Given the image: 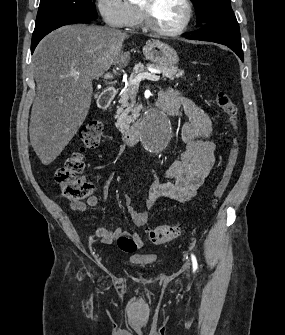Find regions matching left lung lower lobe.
Segmentation results:
<instances>
[{
  "mask_svg": "<svg viewBox=\"0 0 285 335\" xmlns=\"http://www.w3.org/2000/svg\"><path fill=\"white\" fill-rule=\"evenodd\" d=\"M187 38L226 45L243 61L240 30L235 16L213 18L204 23L202 28Z\"/></svg>",
  "mask_w": 285,
  "mask_h": 335,
  "instance_id": "1",
  "label": "left lung lower lobe"
}]
</instances>
